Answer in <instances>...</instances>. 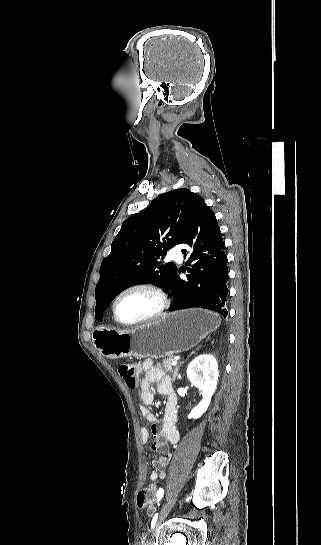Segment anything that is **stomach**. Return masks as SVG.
<instances>
[{"instance_id":"stomach-1","label":"stomach","mask_w":321,"mask_h":545,"mask_svg":"<svg viewBox=\"0 0 321 545\" xmlns=\"http://www.w3.org/2000/svg\"><path fill=\"white\" fill-rule=\"evenodd\" d=\"M220 323L216 313L204 309L175 311L152 323H145L131 331H116L111 327H95L92 341L103 357L121 359H160L174 357L176 353L195 347L207 333L214 331Z\"/></svg>"}]
</instances>
